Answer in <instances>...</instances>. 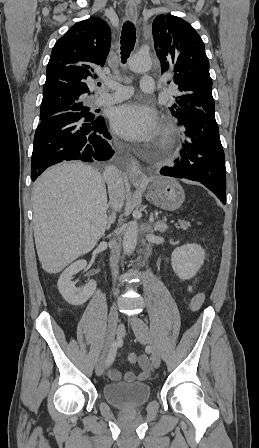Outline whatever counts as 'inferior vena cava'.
<instances>
[{"label":"inferior vena cava","mask_w":259,"mask_h":448,"mask_svg":"<svg viewBox=\"0 0 259 448\" xmlns=\"http://www.w3.org/2000/svg\"><path fill=\"white\" fill-rule=\"evenodd\" d=\"M103 178L105 182L108 184V194L110 198V204L114 210V212H119L120 208H122L125 200V188H124V180L122 178V174L118 168L115 166H108L106 168ZM120 256V250L118 246H112V254L110 256V266L112 270L113 276H117L118 274V260Z\"/></svg>","instance_id":"1"}]
</instances>
